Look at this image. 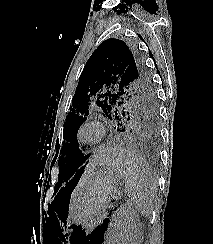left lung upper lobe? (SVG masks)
Segmentation results:
<instances>
[{"instance_id":"obj_1","label":"left lung upper lobe","mask_w":213,"mask_h":244,"mask_svg":"<svg viewBox=\"0 0 213 244\" xmlns=\"http://www.w3.org/2000/svg\"><path fill=\"white\" fill-rule=\"evenodd\" d=\"M150 73L140 56L119 39L103 41L93 52L79 78L71 112L64 123L59 155V183L68 181L81 153L77 132L89 108L97 104L103 116L124 124L141 139L158 135L159 114Z\"/></svg>"}]
</instances>
